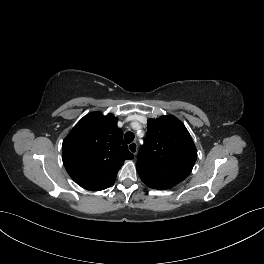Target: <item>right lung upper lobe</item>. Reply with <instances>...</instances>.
<instances>
[{
  "instance_id": "obj_1",
  "label": "right lung upper lobe",
  "mask_w": 264,
  "mask_h": 264,
  "mask_svg": "<svg viewBox=\"0 0 264 264\" xmlns=\"http://www.w3.org/2000/svg\"><path fill=\"white\" fill-rule=\"evenodd\" d=\"M117 121L113 114H87L64 139L63 164L81 187L91 191L110 187L124 161L134 158Z\"/></svg>"
}]
</instances>
